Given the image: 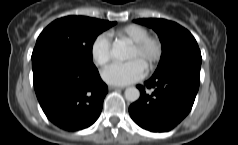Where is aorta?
Wrapping results in <instances>:
<instances>
[{"label":"aorta","mask_w":238,"mask_h":145,"mask_svg":"<svg viewBox=\"0 0 238 145\" xmlns=\"http://www.w3.org/2000/svg\"><path fill=\"white\" fill-rule=\"evenodd\" d=\"M112 52L115 58L126 60L130 57V49L123 41H115L112 47ZM126 100L135 102L140 97V91L136 87H128L125 92Z\"/></svg>","instance_id":"aorta-1"}]
</instances>
